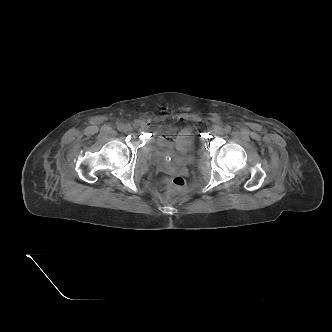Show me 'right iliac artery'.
<instances>
[{"mask_svg": "<svg viewBox=\"0 0 332 332\" xmlns=\"http://www.w3.org/2000/svg\"><path fill=\"white\" fill-rule=\"evenodd\" d=\"M123 126H124V125H123L122 123H119L118 126H117L118 130H122V129H123Z\"/></svg>", "mask_w": 332, "mask_h": 332, "instance_id": "right-iliac-artery-1", "label": "right iliac artery"}]
</instances>
